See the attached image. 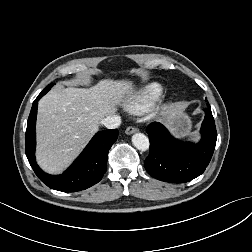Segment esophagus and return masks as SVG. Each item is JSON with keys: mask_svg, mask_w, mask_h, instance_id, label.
Instances as JSON below:
<instances>
[{"mask_svg": "<svg viewBox=\"0 0 252 252\" xmlns=\"http://www.w3.org/2000/svg\"><path fill=\"white\" fill-rule=\"evenodd\" d=\"M137 131H138V129H137L136 127L130 126V127H128V128L126 129L125 133H126L127 135H131V134H133V133H135V132H137Z\"/></svg>", "mask_w": 252, "mask_h": 252, "instance_id": "1", "label": "esophagus"}]
</instances>
